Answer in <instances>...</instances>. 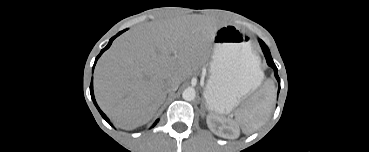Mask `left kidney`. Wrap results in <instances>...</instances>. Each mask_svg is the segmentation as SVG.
<instances>
[{"label":"left kidney","instance_id":"1","mask_svg":"<svg viewBox=\"0 0 369 152\" xmlns=\"http://www.w3.org/2000/svg\"><path fill=\"white\" fill-rule=\"evenodd\" d=\"M206 121L209 129L219 137L237 138L239 136L238 126L232 120L209 114Z\"/></svg>","mask_w":369,"mask_h":152}]
</instances>
